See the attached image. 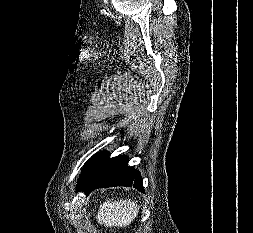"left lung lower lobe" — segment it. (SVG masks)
<instances>
[{
  "label": "left lung lower lobe",
  "instance_id": "left-lung-lower-lobe-1",
  "mask_svg": "<svg viewBox=\"0 0 253 233\" xmlns=\"http://www.w3.org/2000/svg\"><path fill=\"white\" fill-rule=\"evenodd\" d=\"M126 156L109 158V153L100 152L89 175L77 184V191L88 195L97 188L113 186H133L144 192L139 171L127 166Z\"/></svg>",
  "mask_w": 253,
  "mask_h": 233
}]
</instances>
